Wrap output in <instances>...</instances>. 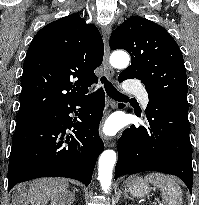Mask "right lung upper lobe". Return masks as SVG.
<instances>
[{"label": "right lung upper lobe", "mask_w": 199, "mask_h": 205, "mask_svg": "<svg viewBox=\"0 0 199 205\" xmlns=\"http://www.w3.org/2000/svg\"><path fill=\"white\" fill-rule=\"evenodd\" d=\"M103 54L98 29L78 13L43 27L26 53L17 118L44 115L83 96L98 82L94 70Z\"/></svg>", "instance_id": "right-lung-upper-lobe-1"}]
</instances>
